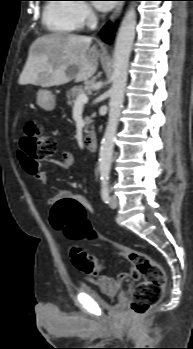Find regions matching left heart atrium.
<instances>
[{"label":"left heart atrium","instance_id":"39dd6f15","mask_svg":"<svg viewBox=\"0 0 193 349\" xmlns=\"http://www.w3.org/2000/svg\"><path fill=\"white\" fill-rule=\"evenodd\" d=\"M96 7L100 11H108L113 7V4L112 2H99V3H96Z\"/></svg>","mask_w":193,"mask_h":349}]
</instances>
